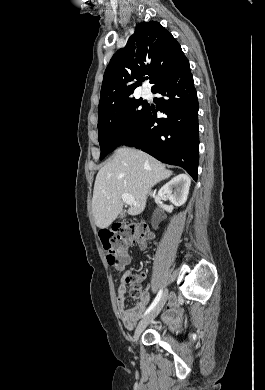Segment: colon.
<instances>
[{
	"label": "colon",
	"instance_id": "1",
	"mask_svg": "<svg viewBox=\"0 0 265 390\" xmlns=\"http://www.w3.org/2000/svg\"><path fill=\"white\" fill-rule=\"evenodd\" d=\"M151 234L145 223L127 225L123 223L114 224L112 229L101 234V241L106 251L108 264L115 269H122L127 260L126 248L131 242H138L145 245ZM141 275L130 274L126 281L130 288V296L134 299L141 298L143 292L139 285Z\"/></svg>",
	"mask_w": 265,
	"mask_h": 390
}]
</instances>
